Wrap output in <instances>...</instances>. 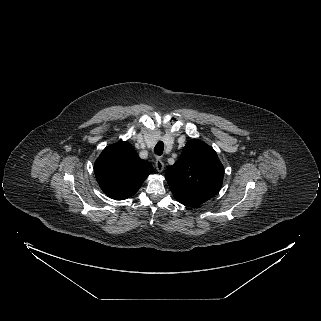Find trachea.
Returning a JSON list of instances; mask_svg holds the SVG:
<instances>
[{"mask_svg":"<svg viewBox=\"0 0 321 321\" xmlns=\"http://www.w3.org/2000/svg\"><path fill=\"white\" fill-rule=\"evenodd\" d=\"M163 150H164V143L162 141H159L154 148V152L156 155L161 156L163 153Z\"/></svg>","mask_w":321,"mask_h":321,"instance_id":"3493384b","label":"trachea"}]
</instances>
